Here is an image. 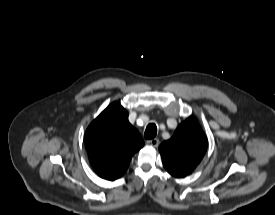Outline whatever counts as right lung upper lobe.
Instances as JSON below:
<instances>
[{
	"mask_svg": "<svg viewBox=\"0 0 275 215\" xmlns=\"http://www.w3.org/2000/svg\"><path fill=\"white\" fill-rule=\"evenodd\" d=\"M143 145L140 133L128 121L127 111L117 102L110 104L85 133L90 163L107 180L121 177Z\"/></svg>",
	"mask_w": 275,
	"mask_h": 215,
	"instance_id": "obj_1",
	"label": "right lung upper lobe"
}]
</instances>
